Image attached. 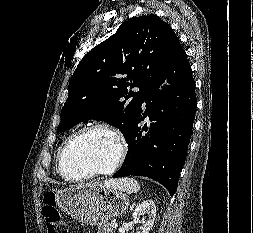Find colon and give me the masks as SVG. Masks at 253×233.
Listing matches in <instances>:
<instances>
[{
    "label": "colon",
    "mask_w": 253,
    "mask_h": 233,
    "mask_svg": "<svg viewBox=\"0 0 253 233\" xmlns=\"http://www.w3.org/2000/svg\"><path fill=\"white\" fill-rule=\"evenodd\" d=\"M43 215L48 233H67L66 223L56 206V196L52 191L44 195Z\"/></svg>",
    "instance_id": "5ec220e1"
}]
</instances>
